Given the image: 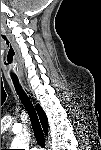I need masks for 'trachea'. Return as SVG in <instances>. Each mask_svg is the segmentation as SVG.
Listing matches in <instances>:
<instances>
[{"label": "trachea", "mask_w": 101, "mask_h": 150, "mask_svg": "<svg viewBox=\"0 0 101 150\" xmlns=\"http://www.w3.org/2000/svg\"><path fill=\"white\" fill-rule=\"evenodd\" d=\"M13 82L15 84L17 93H18L23 105L25 106L26 110L28 111L36 141L40 146L43 147V146H45V137H44V133L41 128L38 116L36 114V111L31 103V101L29 100V98L27 97V95L25 94L23 89L21 88V86L18 82V79L14 78Z\"/></svg>", "instance_id": "obj_1"}]
</instances>
